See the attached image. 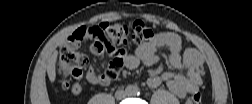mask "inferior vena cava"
<instances>
[{"instance_id":"inferior-vena-cava-1","label":"inferior vena cava","mask_w":252,"mask_h":104,"mask_svg":"<svg viewBox=\"0 0 252 104\" xmlns=\"http://www.w3.org/2000/svg\"><path fill=\"white\" fill-rule=\"evenodd\" d=\"M127 96V93L124 90H117L115 92V98L117 100H122Z\"/></svg>"}]
</instances>
